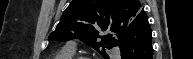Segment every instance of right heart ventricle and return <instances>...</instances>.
<instances>
[{
	"label": "right heart ventricle",
	"instance_id": "e07e8e85",
	"mask_svg": "<svg viewBox=\"0 0 193 59\" xmlns=\"http://www.w3.org/2000/svg\"><path fill=\"white\" fill-rule=\"evenodd\" d=\"M74 51L63 48L54 59H72Z\"/></svg>",
	"mask_w": 193,
	"mask_h": 59
}]
</instances>
